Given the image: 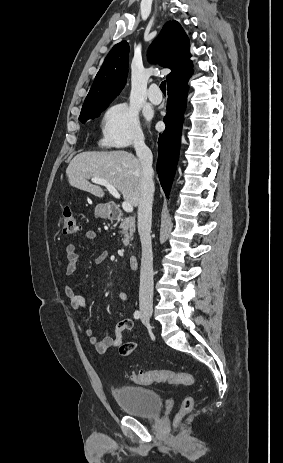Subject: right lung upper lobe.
Segmentation results:
<instances>
[{
	"label": "right lung upper lobe",
	"mask_w": 283,
	"mask_h": 463,
	"mask_svg": "<svg viewBox=\"0 0 283 463\" xmlns=\"http://www.w3.org/2000/svg\"><path fill=\"white\" fill-rule=\"evenodd\" d=\"M129 45L126 41L116 44L108 53L97 73L83 106L114 99L123 89L128 74ZM152 62L172 70L167 75V85L188 80L192 73L190 43L181 25L168 21L148 50Z\"/></svg>",
	"instance_id": "right-lung-upper-lobe-1"
}]
</instances>
